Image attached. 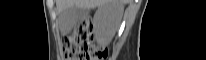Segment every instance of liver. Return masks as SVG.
I'll list each match as a JSON object with an SVG mask.
<instances>
[{"label": "liver", "mask_w": 206, "mask_h": 60, "mask_svg": "<svg viewBox=\"0 0 206 60\" xmlns=\"http://www.w3.org/2000/svg\"><path fill=\"white\" fill-rule=\"evenodd\" d=\"M126 1L127 0H56V8L60 14L63 10L72 6L82 9H93L108 4L114 5L117 8L118 13L116 19L113 22V26L111 27V37L108 40L110 41L119 26L123 15V7Z\"/></svg>", "instance_id": "1"}]
</instances>
